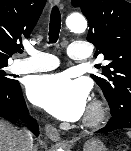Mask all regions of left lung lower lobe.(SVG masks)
Listing matches in <instances>:
<instances>
[{"instance_id": "1", "label": "left lung lower lobe", "mask_w": 131, "mask_h": 151, "mask_svg": "<svg viewBox=\"0 0 131 151\" xmlns=\"http://www.w3.org/2000/svg\"><path fill=\"white\" fill-rule=\"evenodd\" d=\"M131 128V108H124L120 110L119 114H112V118L107 125L97 131V133H107L117 129H129Z\"/></svg>"}]
</instances>
